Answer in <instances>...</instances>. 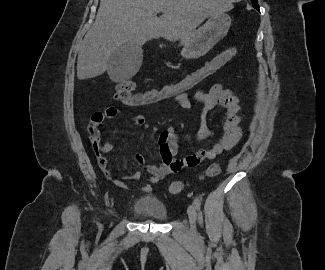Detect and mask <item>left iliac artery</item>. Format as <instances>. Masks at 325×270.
<instances>
[{
    "mask_svg": "<svg viewBox=\"0 0 325 270\" xmlns=\"http://www.w3.org/2000/svg\"><path fill=\"white\" fill-rule=\"evenodd\" d=\"M194 205H195L196 209L199 210L200 207H201V199L198 198V197H196V198L194 199Z\"/></svg>",
    "mask_w": 325,
    "mask_h": 270,
    "instance_id": "44dca946",
    "label": "left iliac artery"
}]
</instances>
